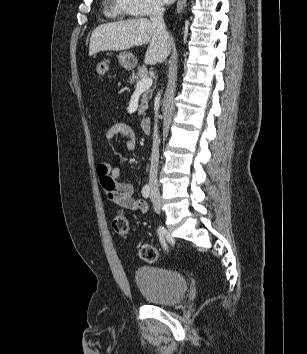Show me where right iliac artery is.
Wrapping results in <instances>:
<instances>
[{
    "label": "right iliac artery",
    "mask_w": 307,
    "mask_h": 354,
    "mask_svg": "<svg viewBox=\"0 0 307 354\" xmlns=\"http://www.w3.org/2000/svg\"><path fill=\"white\" fill-rule=\"evenodd\" d=\"M142 195L143 197L145 198H148L149 195H150V186L149 185H145L143 188H142ZM158 233H159V238H160V241L163 245V247L166 249V243H165V239L163 237V231L162 229H159L158 230Z\"/></svg>",
    "instance_id": "82829eb1"
}]
</instances>
